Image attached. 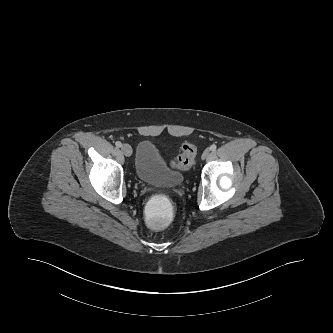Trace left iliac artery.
Masks as SVG:
<instances>
[{"label":"left iliac artery","mask_w":333,"mask_h":333,"mask_svg":"<svg viewBox=\"0 0 333 333\" xmlns=\"http://www.w3.org/2000/svg\"><path fill=\"white\" fill-rule=\"evenodd\" d=\"M217 149V146L215 145V144H212L211 146H210V150L211 151H215Z\"/></svg>","instance_id":"1"}]
</instances>
